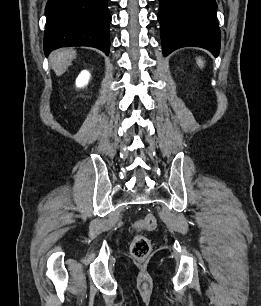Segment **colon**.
Masks as SVG:
<instances>
[{"mask_svg":"<svg viewBox=\"0 0 261 306\" xmlns=\"http://www.w3.org/2000/svg\"><path fill=\"white\" fill-rule=\"evenodd\" d=\"M157 227V220L151 213L146 214L141 219L137 220L134 225L136 234L134 235L130 251L135 259H145L151 251V241L148 237L142 234L143 231H152Z\"/></svg>","mask_w":261,"mask_h":306,"instance_id":"obj_1","label":"colon"}]
</instances>
